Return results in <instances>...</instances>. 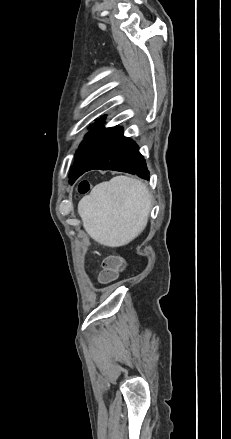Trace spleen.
<instances>
[{
	"instance_id": "1",
	"label": "spleen",
	"mask_w": 231,
	"mask_h": 439,
	"mask_svg": "<svg viewBox=\"0 0 231 439\" xmlns=\"http://www.w3.org/2000/svg\"><path fill=\"white\" fill-rule=\"evenodd\" d=\"M151 196L139 180L113 177L96 185L78 204V213L88 234L100 244L122 246L146 227Z\"/></svg>"
}]
</instances>
